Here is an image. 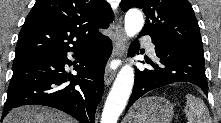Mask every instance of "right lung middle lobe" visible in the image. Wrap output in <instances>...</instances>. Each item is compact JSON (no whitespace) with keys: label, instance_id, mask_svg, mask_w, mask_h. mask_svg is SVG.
Returning a JSON list of instances; mask_svg holds the SVG:
<instances>
[{"label":"right lung middle lobe","instance_id":"obj_1","mask_svg":"<svg viewBox=\"0 0 221 123\" xmlns=\"http://www.w3.org/2000/svg\"><path fill=\"white\" fill-rule=\"evenodd\" d=\"M43 55V54H41ZM35 56H38V55H32V56H15V59H14V62H19V61H23V60H26V59H30V58H33Z\"/></svg>","mask_w":221,"mask_h":123}]
</instances>
